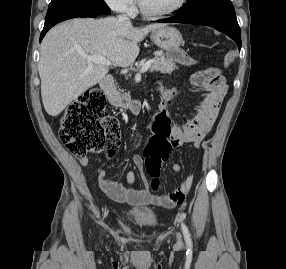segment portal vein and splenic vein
<instances>
[{"label": "portal vein and splenic vein", "mask_w": 286, "mask_h": 269, "mask_svg": "<svg viewBox=\"0 0 286 269\" xmlns=\"http://www.w3.org/2000/svg\"><path fill=\"white\" fill-rule=\"evenodd\" d=\"M84 58L89 62V63H98V64H103V65H111V62L108 61L105 57L100 56V55H85ZM152 64V60L147 61L140 69V72L144 73L146 72Z\"/></svg>", "instance_id": "1"}]
</instances>
